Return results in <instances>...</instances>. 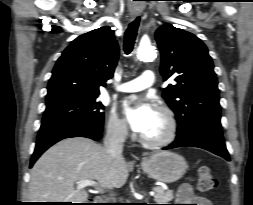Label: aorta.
Listing matches in <instances>:
<instances>
[{"instance_id":"aorta-1","label":"aorta","mask_w":253,"mask_h":205,"mask_svg":"<svg viewBox=\"0 0 253 205\" xmlns=\"http://www.w3.org/2000/svg\"><path fill=\"white\" fill-rule=\"evenodd\" d=\"M136 55L138 59L149 62L156 57L155 47L152 45H140L137 48Z\"/></svg>"}]
</instances>
